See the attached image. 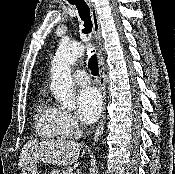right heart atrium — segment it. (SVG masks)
Returning a JSON list of instances; mask_svg holds the SVG:
<instances>
[{
  "label": "right heart atrium",
  "instance_id": "right-heart-atrium-1",
  "mask_svg": "<svg viewBox=\"0 0 175 174\" xmlns=\"http://www.w3.org/2000/svg\"><path fill=\"white\" fill-rule=\"evenodd\" d=\"M60 121L62 128L67 135L73 134L78 130V124L72 114L60 111Z\"/></svg>",
  "mask_w": 175,
  "mask_h": 174
}]
</instances>
